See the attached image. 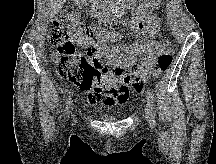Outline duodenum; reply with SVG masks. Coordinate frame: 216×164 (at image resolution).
Wrapping results in <instances>:
<instances>
[{
  "mask_svg": "<svg viewBox=\"0 0 216 164\" xmlns=\"http://www.w3.org/2000/svg\"><path fill=\"white\" fill-rule=\"evenodd\" d=\"M131 1L132 0H124V2L127 3V4H124V6L125 7L130 6L131 4H129V3H131ZM97 8L99 9V12L101 14L100 20L104 21L110 15L109 8L107 7L106 4H101V3L97 4Z\"/></svg>",
  "mask_w": 216,
  "mask_h": 164,
  "instance_id": "1",
  "label": "duodenum"
}]
</instances>
